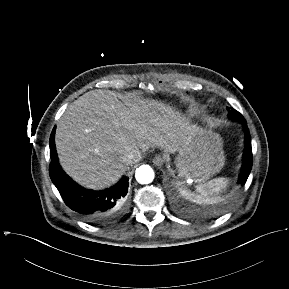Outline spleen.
Wrapping results in <instances>:
<instances>
[{"label": "spleen", "mask_w": 289, "mask_h": 289, "mask_svg": "<svg viewBox=\"0 0 289 289\" xmlns=\"http://www.w3.org/2000/svg\"><path fill=\"white\" fill-rule=\"evenodd\" d=\"M229 179L224 177L214 178L207 182H201L197 185L196 190L202 197L213 196L219 197L220 192L226 189Z\"/></svg>", "instance_id": "obj_1"}]
</instances>
